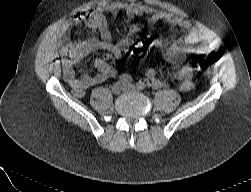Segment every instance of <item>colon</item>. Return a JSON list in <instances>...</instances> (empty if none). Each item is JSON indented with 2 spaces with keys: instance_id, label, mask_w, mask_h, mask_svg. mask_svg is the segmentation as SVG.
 <instances>
[{
  "instance_id": "obj_1",
  "label": "colon",
  "mask_w": 251,
  "mask_h": 192,
  "mask_svg": "<svg viewBox=\"0 0 251 192\" xmlns=\"http://www.w3.org/2000/svg\"><path fill=\"white\" fill-rule=\"evenodd\" d=\"M151 54V42L146 38H140L131 43V45L125 51V56L128 59L136 61L147 59L151 56ZM218 60L219 57L217 54L200 55L198 57L197 65L200 70L207 71L211 69V67L216 64Z\"/></svg>"
}]
</instances>
